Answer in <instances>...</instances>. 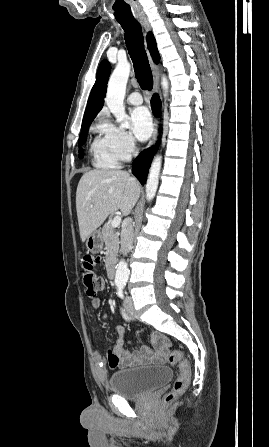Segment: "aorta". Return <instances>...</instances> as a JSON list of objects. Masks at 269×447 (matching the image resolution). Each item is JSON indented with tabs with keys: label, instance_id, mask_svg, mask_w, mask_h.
<instances>
[{
	"label": "aorta",
	"instance_id": "aorta-1",
	"mask_svg": "<svg viewBox=\"0 0 269 447\" xmlns=\"http://www.w3.org/2000/svg\"><path fill=\"white\" fill-rule=\"evenodd\" d=\"M131 66L129 62H123V60H118V64L112 74L110 76V80L108 82L107 94L105 98V104L108 106L111 114H113L114 118H116L117 124H120L121 128H129V122L124 106V98L126 94V86L128 82V78L130 76ZM162 86L163 90H165L166 94L168 92L169 84L167 78H162ZM161 156H155L147 184H146V198L147 200H153L158 184H159V174L161 170ZM129 269L127 267L126 261L121 259L119 263H117L116 275H115V283L116 285H124L126 281H128L129 277Z\"/></svg>",
	"mask_w": 269,
	"mask_h": 447
}]
</instances>
